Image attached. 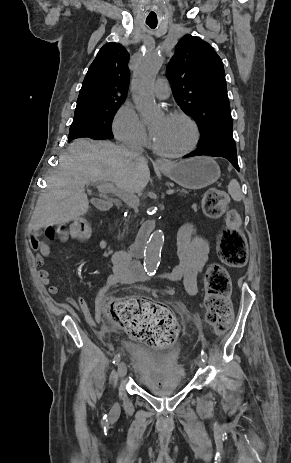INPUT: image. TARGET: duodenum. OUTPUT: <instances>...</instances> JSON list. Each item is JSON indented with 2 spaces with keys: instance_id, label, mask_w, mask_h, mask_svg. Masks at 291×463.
Listing matches in <instances>:
<instances>
[{
  "instance_id": "obj_1",
  "label": "duodenum",
  "mask_w": 291,
  "mask_h": 463,
  "mask_svg": "<svg viewBox=\"0 0 291 463\" xmlns=\"http://www.w3.org/2000/svg\"><path fill=\"white\" fill-rule=\"evenodd\" d=\"M96 205L102 210L110 211L112 209V206L104 199H97ZM153 228H154V222L151 220L146 221L142 225V227L140 228L137 234L136 239L134 240V242L130 245L128 249L131 255H133L134 257H142L144 248L146 245V241L149 237L150 232L153 230Z\"/></svg>"
}]
</instances>
